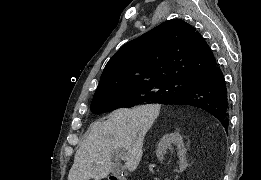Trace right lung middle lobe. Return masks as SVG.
I'll use <instances>...</instances> for the list:
<instances>
[{
    "label": "right lung middle lobe",
    "mask_w": 261,
    "mask_h": 180,
    "mask_svg": "<svg viewBox=\"0 0 261 180\" xmlns=\"http://www.w3.org/2000/svg\"><path fill=\"white\" fill-rule=\"evenodd\" d=\"M190 81L162 80L120 89L93 98L90 110L100 114L118 107H133L145 103H165L188 91Z\"/></svg>",
    "instance_id": "right-lung-middle-lobe-1"
}]
</instances>
